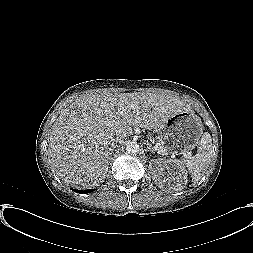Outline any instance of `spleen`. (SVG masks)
Segmentation results:
<instances>
[{
  "mask_svg": "<svg viewBox=\"0 0 253 253\" xmlns=\"http://www.w3.org/2000/svg\"><path fill=\"white\" fill-rule=\"evenodd\" d=\"M212 157V139L209 133H204L200 139L196 155L184 160H173L175 163L187 167L193 181L202 178Z\"/></svg>",
  "mask_w": 253,
  "mask_h": 253,
  "instance_id": "1",
  "label": "spleen"
}]
</instances>
